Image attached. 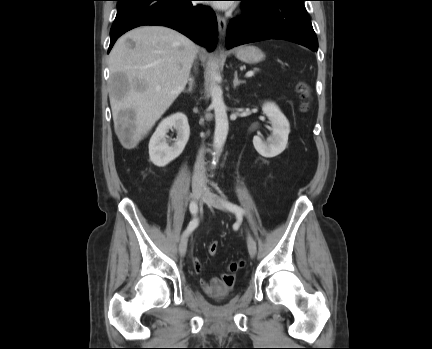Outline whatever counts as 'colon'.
<instances>
[{
  "label": "colon",
  "instance_id": "obj_1",
  "mask_svg": "<svg viewBox=\"0 0 432 349\" xmlns=\"http://www.w3.org/2000/svg\"><path fill=\"white\" fill-rule=\"evenodd\" d=\"M297 91L299 92L301 98L303 99V103H302V110L306 111L308 108V98L310 95V90L309 87L306 83L304 82H300L297 85ZM218 251V243L216 241L212 242L209 247H208V252L210 255L214 256L216 255ZM243 266V262H234L231 263L229 266V270L231 272H235L238 269H240Z\"/></svg>",
  "mask_w": 432,
  "mask_h": 349
}]
</instances>
